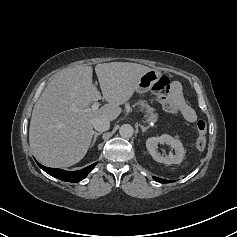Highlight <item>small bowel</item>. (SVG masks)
Returning a JSON list of instances; mask_svg holds the SVG:
<instances>
[{"label": "small bowel", "mask_w": 237, "mask_h": 237, "mask_svg": "<svg viewBox=\"0 0 237 237\" xmlns=\"http://www.w3.org/2000/svg\"><path fill=\"white\" fill-rule=\"evenodd\" d=\"M172 97L178 104L179 109L183 118L187 122H195L197 115L195 110L184 100L181 92V86L178 83H173L172 87Z\"/></svg>", "instance_id": "obj_1"}]
</instances>
